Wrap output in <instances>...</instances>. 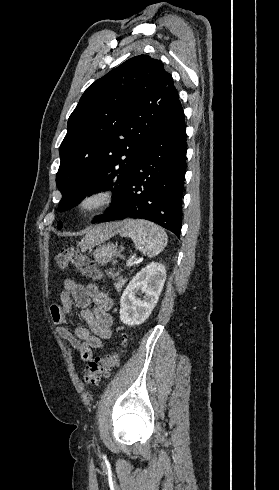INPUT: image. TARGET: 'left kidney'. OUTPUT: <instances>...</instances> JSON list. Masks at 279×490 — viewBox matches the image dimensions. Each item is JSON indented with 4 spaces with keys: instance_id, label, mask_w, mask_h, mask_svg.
<instances>
[{
    "instance_id": "5707ae66",
    "label": "left kidney",
    "mask_w": 279,
    "mask_h": 490,
    "mask_svg": "<svg viewBox=\"0 0 279 490\" xmlns=\"http://www.w3.org/2000/svg\"><path fill=\"white\" fill-rule=\"evenodd\" d=\"M166 278L165 266L157 262H151L132 278L120 298L119 318L123 324L139 326L149 318L158 302ZM140 294L144 296L137 298Z\"/></svg>"
}]
</instances>
